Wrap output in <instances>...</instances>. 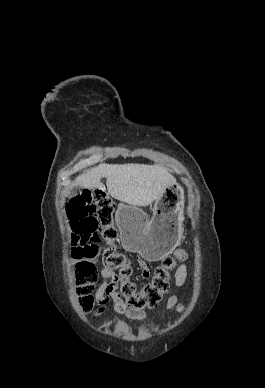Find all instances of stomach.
I'll list each match as a JSON object with an SVG mask.
<instances>
[{
	"label": "stomach",
	"mask_w": 265,
	"mask_h": 388,
	"mask_svg": "<svg viewBox=\"0 0 265 388\" xmlns=\"http://www.w3.org/2000/svg\"><path fill=\"white\" fill-rule=\"evenodd\" d=\"M183 214L184 191L176 184L155 201L151 219L141 209L120 203L115 217L123 248L148 261L162 259L180 241Z\"/></svg>",
	"instance_id": "1"
}]
</instances>
